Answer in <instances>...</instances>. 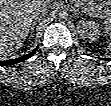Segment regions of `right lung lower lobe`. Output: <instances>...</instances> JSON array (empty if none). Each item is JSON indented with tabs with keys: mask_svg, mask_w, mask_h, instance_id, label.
<instances>
[{
	"mask_svg": "<svg viewBox=\"0 0 111 106\" xmlns=\"http://www.w3.org/2000/svg\"><path fill=\"white\" fill-rule=\"evenodd\" d=\"M37 49H38V46L32 52H30L29 54L24 55L22 57H19V58H16V59H11V60H6V61H0V65L1 66H3V65H5V66L6 65H12V64L19 63L21 61L27 60L35 54Z\"/></svg>",
	"mask_w": 111,
	"mask_h": 106,
	"instance_id": "right-lung-lower-lobe-1",
	"label": "right lung lower lobe"
}]
</instances>
